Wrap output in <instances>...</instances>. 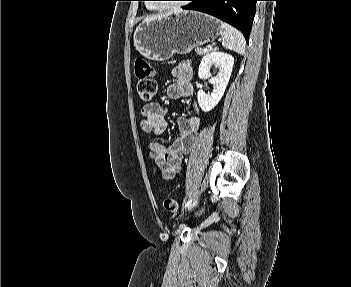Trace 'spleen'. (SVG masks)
I'll list each match as a JSON object with an SVG mask.
<instances>
[{"instance_id":"spleen-1","label":"spleen","mask_w":351,"mask_h":287,"mask_svg":"<svg viewBox=\"0 0 351 287\" xmlns=\"http://www.w3.org/2000/svg\"><path fill=\"white\" fill-rule=\"evenodd\" d=\"M222 46L243 55L245 53V40L240 31L231 25L222 22Z\"/></svg>"}]
</instances>
